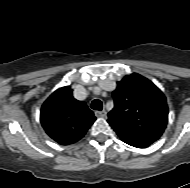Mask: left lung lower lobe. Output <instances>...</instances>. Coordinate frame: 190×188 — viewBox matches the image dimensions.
Listing matches in <instances>:
<instances>
[{
    "instance_id": "0a47b994",
    "label": "left lung lower lobe",
    "mask_w": 190,
    "mask_h": 188,
    "mask_svg": "<svg viewBox=\"0 0 190 188\" xmlns=\"http://www.w3.org/2000/svg\"><path fill=\"white\" fill-rule=\"evenodd\" d=\"M122 141L137 148H146L157 141L160 136L135 132L123 127L112 126Z\"/></svg>"
}]
</instances>
